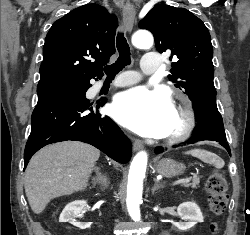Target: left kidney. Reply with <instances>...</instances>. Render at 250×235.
<instances>
[{
  "label": "left kidney",
  "instance_id": "obj_1",
  "mask_svg": "<svg viewBox=\"0 0 250 235\" xmlns=\"http://www.w3.org/2000/svg\"><path fill=\"white\" fill-rule=\"evenodd\" d=\"M177 213L182 220L186 221L174 223L175 227H177L180 231H187L198 222L201 223L204 221L200 208L194 202H184L180 204L177 208Z\"/></svg>",
  "mask_w": 250,
  "mask_h": 235
}]
</instances>
